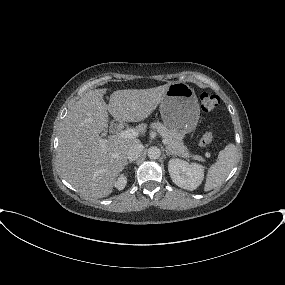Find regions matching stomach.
I'll return each mask as SVG.
<instances>
[{
	"instance_id": "stomach-1",
	"label": "stomach",
	"mask_w": 285,
	"mask_h": 285,
	"mask_svg": "<svg viewBox=\"0 0 285 285\" xmlns=\"http://www.w3.org/2000/svg\"><path fill=\"white\" fill-rule=\"evenodd\" d=\"M165 126L185 135L198 123L200 107L193 88L184 82L171 83L160 103Z\"/></svg>"
}]
</instances>
